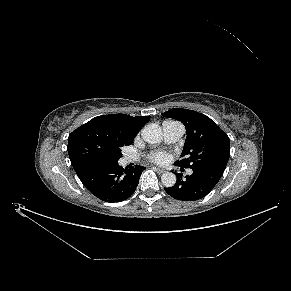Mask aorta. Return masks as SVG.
Wrapping results in <instances>:
<instances>
[{
	"instance_id": "762f6f07",
	"label": "aorta",
	"mask_w": 291,
	"mask_h": 291,
	"mask_svg": "<svg viewBox=\"0 0 291 291\" xmlns=\"http://www.w3.org/2000/svg\"><path fill=\"white\" fill-rule=\"evenodd\" d=\"M141 136L145 142L157 144L162 140V131L153 125H148L142 129ZM161 181L165 187H172L176 183V175L172 172H166L162 174Z\"/></svg>"
}]
</instances>
